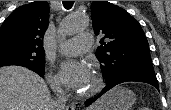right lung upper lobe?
Instances as JSON below:
<instances>
[{
	"mask_svg": "<svg viewBox=\"0 0 171 110\" xmlns=\"http://www.w3.org/2000/svg\"><path fill=\"white\" fill-rule=\"evenodd\" d=\"M49 20L47 1H34L18 7L0 27V44L44 50L42 40Z\"/></svg>",
	"mask_w": 171,
	"mask_h": 110,
	"instance_id": "obj_1",
	"label": "right lung upper lobe"
}]
</instances>
